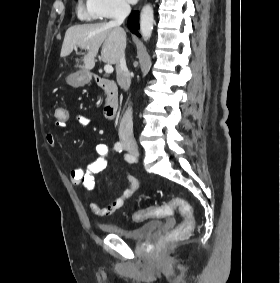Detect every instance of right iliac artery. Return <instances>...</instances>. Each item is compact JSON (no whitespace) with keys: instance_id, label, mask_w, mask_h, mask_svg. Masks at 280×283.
I'll use <instances>...</instances> for the list:
<instances>
[{"instance_id":"82829eb1","label":"right iliac artery","mask_w":280,"mask_h":283,"mask_svg":"<svg viewBox=\"0 0 280 283\" xmlns=\"http://www.w3.org/2000/svg\"><path fill=\"white\" fill-rule=\"evenodd\" d=\"M114 149H115L117 152H122V150H123V145H122V143L117 142V143L115 144V146H114Z\"/></svg>"}]
</instances>
